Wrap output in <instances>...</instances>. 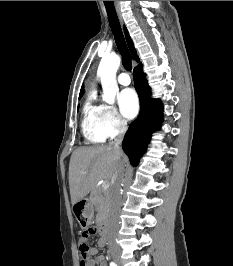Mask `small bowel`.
Listing matches in <instances>:
<instances>
[{
	"instance_id": "obj_1",
	"label": "small bowel",
	"mask_w": 233,
	"mask_h": 266,
	"mask_svg": "<svg viewBox=\"0 0 233 266\" xmlns=\"http://www.w3.org/2000/svg\"><path fill=\"white\" fill-rule=\"evenodd\" d=\"M106 242L102 238L98 241L99 247H104ZM83 266H107L106 257L98 254L97 248L91 247L90 255L84 260Z\"/></svg>"
}]
</instances>
